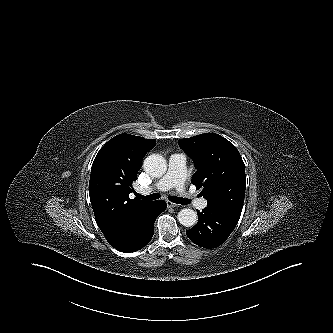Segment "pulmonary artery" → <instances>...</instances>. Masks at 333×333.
Returning a JSON list of instances; mask_svg holds the SVG:
<instances>
[{
	"label": "pulmonary artery",
	"mask_w": 333,
	"mask_h": 333,
	"mask_svg": "<svg viewBox=\"0 0 333 333\" xmlns=\"http://www.w3.org/2000/svg\"><path fill=\"white\" fill-rule=\"evenodd\" d=\"M185 163L186 160L183 154H173L169 160L167 174L152 187L144 189L143 192L167 191L168 189L175 187L181 196L190 199L191 203L197 208L204 209L207 206V201L205 199L192 198L184 186Z\"/></svg>",
	"instance_id": "e3ab8cb5"
}]
</instances>
